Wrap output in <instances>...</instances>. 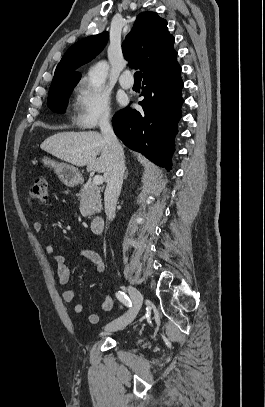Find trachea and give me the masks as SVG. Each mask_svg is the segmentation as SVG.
Returning a JSON list of instances; mask_svg holds the SVG:
<instances>
[{
  "label": "trachea",
  "mask_w": 265,
  "mask_h": 407,
  "mask_svg": "<svg viewBox=\"0 0 265 407\" xmlns=\"http://www.w3.org/2000/svg\"><path fill=\"white\" fill-rule=\"evenodd\" d=\"M134 79L136 80V81H141V79H142V73L141 72H135V74H134Z\"/></svg>",
  "instance_id": "obj_1"
}]
</instances>
